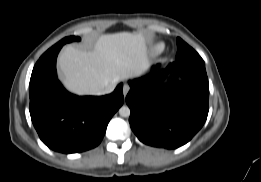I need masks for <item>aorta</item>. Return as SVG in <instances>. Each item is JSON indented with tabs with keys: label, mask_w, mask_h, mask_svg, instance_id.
I'll return each mask as SVG.
<instances>
[{
	"label": "aorta",
	"mask_w": 261,
	"mask_h": 182,
	"mask_svg": "<svg viewBox=\"0 0 261 182\" xmlns=\"http://www.w3.org/2000/svg\"><path fill=\"white\" fill-rule=\"evenodd\" d=\"M119 115L121 117H129L130 116V109L128 106H122L120 109H119Z\"/></svg>",
	"instance_id": "aorta-1"
}]
</instances>
